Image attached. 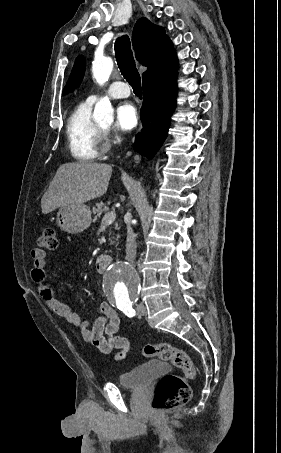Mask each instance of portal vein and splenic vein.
<instances>
[{"mask_svg": "<svg viewBox=\"0 0 281 453\" xmlns=\"http://www.w3.org/2000/svg\"><path fill=\"white\" fill-rule=\"evenodd\" d=\"M115 218H116L115 210H110V212H106V214H104L102 220H106V222H114Z\"/></svg>", "mask_w": 281, "mask_h": 453, "instance_id": "obj_1", "label": "portal vein and splenic vein"}]
</instances>
